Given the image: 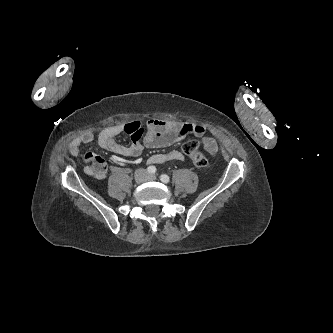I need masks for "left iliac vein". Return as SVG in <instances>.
I'll list each match as a JSON object with an SVG mask.
<instances>
[{"label": "left iliac vein", "instance_id": "obj_1", "mask_svg": "<svg viewBox=\"0 0 333 333\" xmlns=\"http://www.w3.org/2000/svg\"><path fill=\"white\" fill-rule=\"evenodd\" d=\"M148 179L149 180H156V176L155 175H150V176H148Z\"/></svg>", "mask_w": 333, "mask_h": 333}]
</instances>
